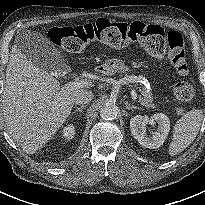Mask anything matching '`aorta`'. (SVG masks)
<instances>
[{"label": "aorta", "mask_w": 205, "mask_h": 205, "mask_svg": "<svg viewBox=\"0 0 205 205\" xmlns=\"http://www.w3.org/2000/svg\"><path fill=\"white\" fill-rule=\"evenodd\" d=\"M100 116L104 120H112L117 116V109L113 104H105L100 109Z\"/></svg>", "instance_id": "obj_1"}]
</instances>
